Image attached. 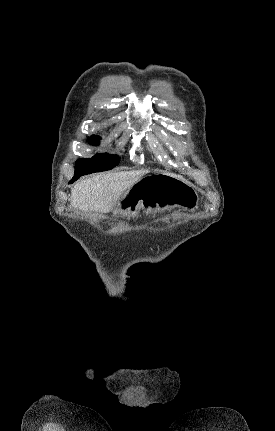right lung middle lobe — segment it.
I'll list each match as a JSON object with an SVG mask.
<instances>
[{
	"instance_id": "1",
	"label": "right lung middle lobe",
	"mask_w": 275,
	"mask_h": 431,
	"mask_svg": "<svg viewBox=\"0 0 275 431\" xmlns=\"http://www.w3.org/2000/svg\"><path fill=\"white\" fill-rule=\"evenodd\" d=\"M100 137L92 136L89 138L91 145H98ZM119 157L116 155L96 154L92 158H81L76 161L75 174L73 179H78L82 175L94 172H102L112 169L119 164Z\"/></svg>"
}]
</instances>
